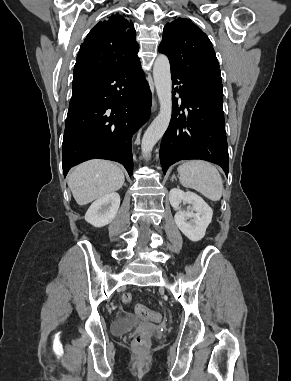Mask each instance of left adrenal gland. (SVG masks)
Instances as JSON below:
<instances>
[{
    "label": "left adrenal gland",
    "mask_w": 291,
    "mask_h": 381,
    "mask_svg": "<svg viewBox=\"0 0 291 381\" xmlns=\"http://www.w3.org/2000/svg\"><path fill=\"white\" fill-rule=\"evenodd\" d=\"M174 179H176L175 175L173 174L172 177H171V180L173 181Z\"/></svg>",
    "instance_id": "1"
}]
</instances>
